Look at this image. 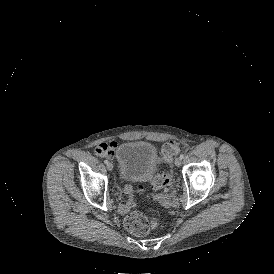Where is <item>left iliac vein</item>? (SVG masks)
Segmentation results:
<instances>
[{
    "mask_svg": "<svg viewBox=\"0 0 274 274\" xmlns=\"http://www.w3.org/2000/svg\"><path fill=\"white\" fill-rule=\"evenodd\" d=\"M181 164H182V159H180V157H179L175 160V166L179 167V166H181Z\"/></svg>",
    "mask_w": 274,
    "mask_h": 274,
    "instance_id": "4c4485c4",
    "label": "left iliac vein"
}]
</instances>
